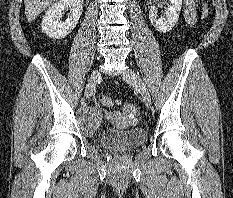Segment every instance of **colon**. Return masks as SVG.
<instances>
[{"mask_svg":"<svg viewBox=\"0 0 233 198\" xmlns=\"http://www.w3.org/2000/svg\"><path fill=\"white\" fill-rule=\"evenodd\" d=\"M202 14H203L204 18H206L208 16L209 8H208L207 4H203ZM98 101L102 105L108 106V107H110L114 104L113 100L105 95L99 96ZM123 111L128 117L134 118L137 116L139 110H138V107L136 106V104L131 103V102H127L123 106Z\"/></svg>","mask_w":233,"mask_h":198,"instance_id":"5ec220e1","label":"colon"}]
</instances>
